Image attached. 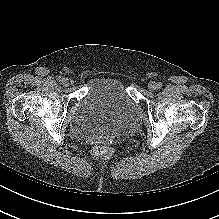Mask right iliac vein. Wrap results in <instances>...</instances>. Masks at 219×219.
<instances>
[{
    "instance_id": "1",
    "label": "right iliac vein",
    "mask_w": 219,
    "mask_h": 219,
    "mask_svg": "<svg viewBox=\"0 0 219 219\" xmlns=\"http://www.w3.org/2000/svg\"><path fill=\"white\" fill-rule=\"evenodd\" d=\"M62 84L63 86L68 87L71 84V82L69 81L68 78H64L62 81Z\"/></svg>"
}]
</instances>
